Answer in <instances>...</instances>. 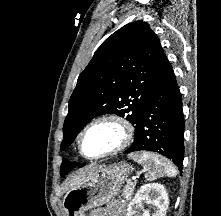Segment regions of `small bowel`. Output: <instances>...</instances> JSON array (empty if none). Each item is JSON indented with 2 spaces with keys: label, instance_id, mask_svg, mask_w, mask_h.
<instances>
[{
  "label": "small bowel",
  "instance_id": "small-bowel-1",
  "mask_svg": "<svg viewBox=\"0 0 221 216\" xmlns=\"http://www.w3.org/2000/svg\"><path fill=\"white\" fill-rule=\"evenodd\" d=\"M91 216H125V205L122 202L113 204L109 211L96 210Z\"/></svg>",
  "mask_w": 221,
  "mask_h": 216
}]
</instances>
